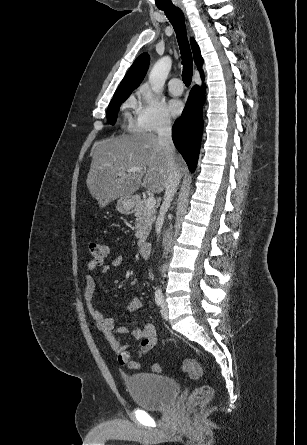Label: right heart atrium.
I'll list each match as a JSON object with an SVG mask.
<instances>
[{"label":"right heart atrium","instance_id":"1","mask_svg":"<svg viewBox=\"0 0 307 445\" xmlns=\"http://www.w3.org/2000/svg\"><path fill=\"white\" fill-rule=\"evenodd\" d=\"M138 102L137 125L148 133H161L172 125L166 105L147 87H141L136 96Z\"/></svg>","mask_w":307,"mask_h":445}]
</instances>
